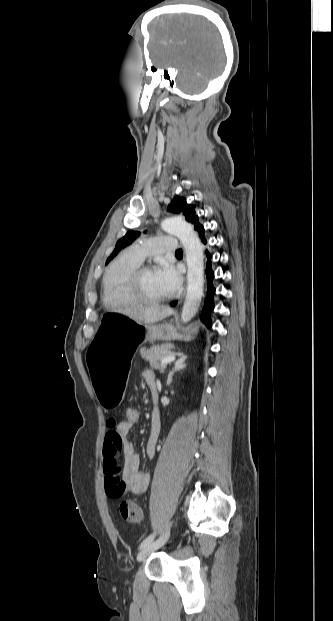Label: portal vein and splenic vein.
Returning a JSON list of instances; mask_svg holds the SVG:
<instances>
[{
  "label": "portal vein and splenic vein",
  "mask_w": 333,
  "mask_h": 621,
  "mask_svg": "<svg viewBox=\"0 0 333 621\" xmlns=\"http://www.w3.org/2000/svg\"><path fill=\"white\" fill-rule=\"evenodd\" d=\"M175 359H176L175 355H169V356H166V357L162 358L160 360V364H162V365L163 364H168V363L173 362Z\"/></svg>",
  "instance_id": "18ae733b"
}]
</instances>
